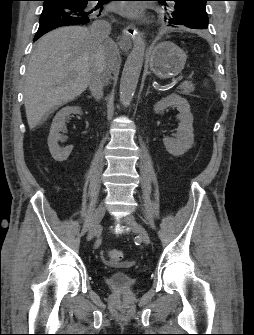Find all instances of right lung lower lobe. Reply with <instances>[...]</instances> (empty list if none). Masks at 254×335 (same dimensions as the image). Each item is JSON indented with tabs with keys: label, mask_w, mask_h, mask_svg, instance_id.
I'll return each mask as SVG.
<instances>
[{
	"label": "right lung lower lobe",
	"mask_w": 254,
	"mask_h": 335,
	"mask_svg": "<svg viewBox=\"0 0 254 335\" xmlns=\"http://www.w3.org/2000/svg\"><path fill=\"white\" fill-rule=\"evenodd\" d=\"M43 11L40 16V25L34 37V41L45 33L67 25L86 24L94 13L90 1L93 0H43ZM104 0L98 2V7L104 4Z\"/></svg>",
	"instance_id": "right-lung-lower-lobe-1"
}]
</instances>
